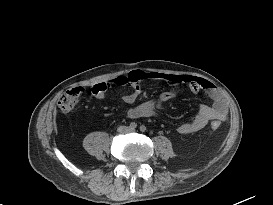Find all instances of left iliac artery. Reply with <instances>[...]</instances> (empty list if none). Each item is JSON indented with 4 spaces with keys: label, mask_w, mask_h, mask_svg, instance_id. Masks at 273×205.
<instances>
[{
    "label": "left iliac artery",
    "mask_w": 273,
    "mask_h": 205,
    "mask_svg": "<svg viewBox=\"0 0 273 205\" xmlns=\"http://www.w3.org/2000/svg\"><path fill=\"white\" fill-rule=\"evenodd\" d=\"M140 131L145 132L146 131V127L144 125L140 126Z\"/></svg>",
    "instance_id": "left-iliac-artery-1"
}]
</instances>
